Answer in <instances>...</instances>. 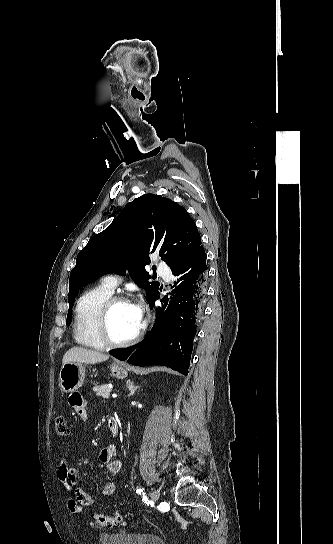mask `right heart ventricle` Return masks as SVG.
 I'll list each match as a JSON object with an SVG mask.
<instances>
[{
    "instance_id": "obj_1",
    "label": "right heart ventricle",
    "mask_w": 333,
    "mask_h": 544,
    "mask_svg": "<svg viewBox=\"0 0 333 544\" xmlns=\"http://www.w3.org/2000/svg\"><path fill=\"white\" fill-rule=\"evenodd\" d=\"M112 294L113 291L100 284L80 296L76 303L73 323V335L78 344L93 349L105 347L98 336L97 319L102 305Z\"/></svg>"
}]
</instances>
